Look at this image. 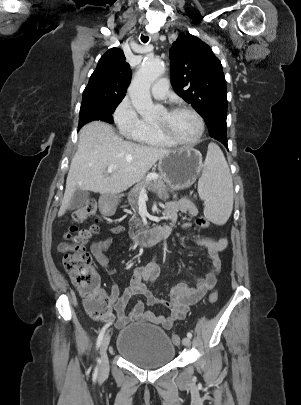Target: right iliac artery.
<instances>
[{
  "instance_id": "1",
  "label": "right iliac artery",
  "mask_w": 301,
  "mask_h": 405,
  "mask_svg": "<svg viewBox=\"0 0 301 405\" xmlns=\"http://www.w3.org/2000/svg\"><path fill=\"white\" fill-rule=\"evenodd\" d=\"M109 326H110V324H106V325L101 329V331H100V333H99V336H98V338H97L96 349H98V348L100 347V345H101V343H102V340H103V337H104V334H105V331H106V329H107ZM95 375H97V368H96V370H95Z\"/></svg>"
}]
</instances>
